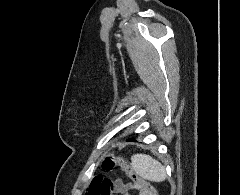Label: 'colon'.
Here are the masks:
<instances>
[{
  "mask_svg": "<svg viewBox=\"0 0 240 195\" xmlns=\"http://www.w3.org/2000/svg\"><path fill=\"white\" fill-rule=\"evenodd\" d=\"M115 166H120L125 169L124 171L127 176L134 180L135 185L141 188L142 191L148 195H157L156 191L145 184V182L139 178L138 174L129 167V163L126 162L123 157H116L114 154H110L103 160L104 169L110 170ZM87 191V195H124L126 193L122 183L115 182L110 178L102 176L94 177Z\"/></svg>",
  "mask_w": 240,
  "mask_h": 195,
  "instance_id": "1",
  "label": "colon"
}]
</instances>
